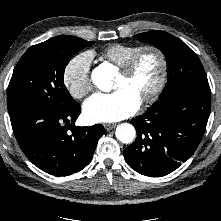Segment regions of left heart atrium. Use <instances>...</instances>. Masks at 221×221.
I'll list each match as a JSON object with an SVG mask.
<instances>
[{
    "label": "left heart atrium",
    "instance_id": "39dd6f15",
    "mask_svg": "<svg viewBox=\"0 0 221 221\" xmlns=\"http://www.w3.org/2000/svg\"><path fill=\"white\" fill-rule=\"evenodd\" d=\"M140 99L129 89L121 87L111 93L98 92L83 104V113L90 122H115L137 111Z\"/></svg>",
    "mask_w": 221,
    "mask_h": 221
}]
</instances>
